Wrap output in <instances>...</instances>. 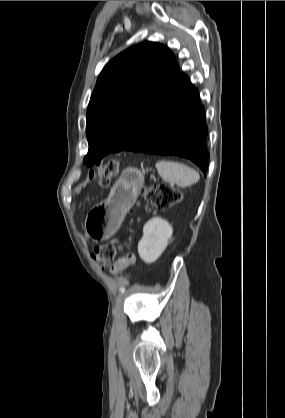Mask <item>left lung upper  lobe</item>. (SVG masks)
<instances>
[{
	"instance_id": "left-lung-upper-lobe-1",
	"label": "left lung upper lobe",
	"mask_w": 285,
	"mask_h": 418,
	"mask_svg": "<svg viewBox=\"0 0 285 418\" xmlns=\"http://www.w3.org/2000/svg\"><path fill=\"white\" fill-rule=\"evenodd\" d=\"M179 67L164 45L145 41L123 51L100 73L87 109V166L122 151L166 94Z\"/></svg>"
}]
</instances>
